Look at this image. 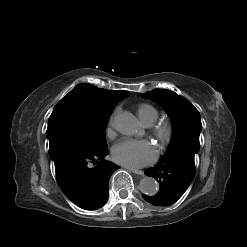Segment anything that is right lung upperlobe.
Segmentation results:
<instances>
[{
  "instance_id": "right-lung-upper-lobe-1",
  "label": "right lung upper lobe",
  "mask_w": 247,
  "mask_h": 247,
  "mask_svg": "<svg viewBox=\"0 0 247 247\" xmlns=\"http://www.w3.org/2000/svg\"><path fill=\"white\" fill-rule=\"evenodd\" d=\"M72 92H79L98 105L109 107L116 106L117 103L129 95L127 91H110L97 88L88 83L77 85Z\"/></svg>"
}]
</instances>
